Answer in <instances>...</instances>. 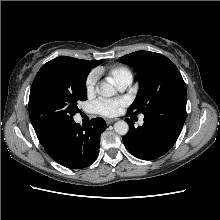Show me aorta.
<instances>
[{"label": "aorta", "instance_id": "1", "mask_svg": "<svg viewBox=\"0 0 220 220\" xmlns=\"http://www.w3.org/2000/svg\"><path fill=\"white\" fill-rule=\"evenodd\" d=\"M97 91L103 97H111L116 93L114 86L107 82L101 83ZM114 131L119 135H126L129 131V126L127 122L123 120L117 121L114 123Z\"/></svg>", "mask_w": 220, "mask_h": 220}]
</instances>
